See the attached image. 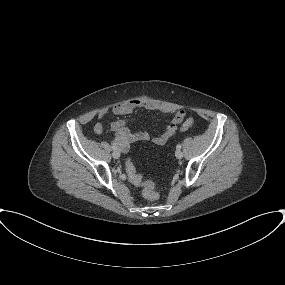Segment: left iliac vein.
Instances as JSON below:
<instances>
[{"label": "left iliac vein", "instance_id": "4c4485c4", "mask_svg": "<svg viewBox=\"0 0 285 285\" xmlns=\"http://www.w3.org/2000/svg\"><path fill=\"white\" fill-rule=\"evenodd\" d=\"M175 156H176L178 159H181V158L183 157V152H182L181 150H176Z\"/></svg>", "mask_w": 285, "mask_h": 285}]
</instances>
